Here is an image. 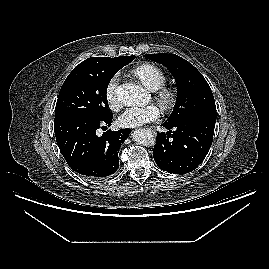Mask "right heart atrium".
Listing matches in <instances>:
<instances>
[{
    "instance_id": "1",
    "label": "right heart atrium",
    "mask_w": 269,
    "mask_h": 269,
    "mask_svg": "<svg viewBox=\"0 0 269 269\" xmlns=\"http://www.w3.org/2000/svg\"><path fill=\"white\" fill-rule=\"evenodd\" d=\"M120 80L119 74L113 75L105 86V100L112 110H117L120 107V101L117 96V86Z\"/></svg>"
}]
</instances>
